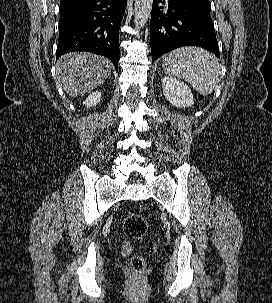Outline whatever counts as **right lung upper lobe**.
<instances>
[{
  "mask_svg": "<svg viewBox=\"0 0 272 303\" xmlns=\"http://www.w3.org/2000/svg\"><path fill=\"white\" fill-rule=\"evenodd\" d=\"M85 0H60V9H64Z\"/></svg>",
  "mask_w": 272,
  "mask_h": 303,
  "instance_id": "1",
  "label": "right lung upper lobe"
}]
</instances>
